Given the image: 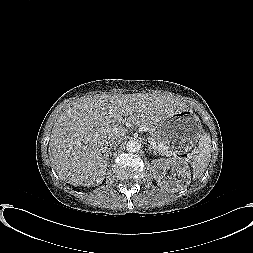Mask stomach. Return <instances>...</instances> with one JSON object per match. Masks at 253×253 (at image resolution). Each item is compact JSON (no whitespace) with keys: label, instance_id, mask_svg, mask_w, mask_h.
Wrapping results in <instances>:
<instances>
[{"label":"stomach","instance_id":"stomach-1","mask_svg":"<svg viewBox=\"0 0 253 253\" xmlns=\"http://www.w3.org/2000/svg\"><path fill=\"white\" fill-rule=\"evenodd\" d=\"M164 143L177 153H185L196 146L203 128L192 109H183L154 126Z\"/></svg>","mask_w":253,"mask_h":253}]
</instances>
